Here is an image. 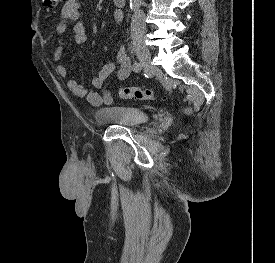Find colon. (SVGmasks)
Returning a JSON list of instances; mask_svg holds the SVG:
<instances>
[{"instance_id": "obj_1", "label": "colon", "mask_w": 275, "mask_h": 263, "mask_svg": "<svg viewBox=\"0 0 275 263\" xmlns=\"http://www.w3.org/2000/svg\"><path fill=\"white\" fill-rule=\"evenodd\" d=\"M48 8H56L61 4L62 0H43ZM119 96L122 99H135V100H154L155 94L150 89H141L137 86H123L119 88Z\"/></svg>"}]
</instances>
